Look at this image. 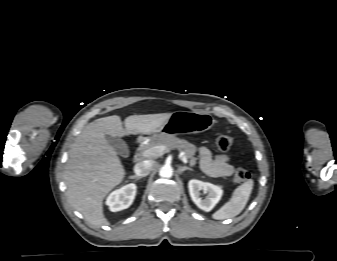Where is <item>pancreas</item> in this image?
I'll use <instances>...</instances> for the list:
<instances>
[{
	"label": "pancreas",
	"mask_w": 337,
	"mask_h": 261,
	"mask_svg": "<svg viewBox=\"0 0 337 261\" xmlns=\"http://www.w3.org/2000/svg\"><path fill=\"white\" fill-rule=\"evenodd\" d=\"M160 145L166 146L168 151L174 149L184 151L186 158L189 160V164L191 166H195L197 161V158L195 157L197 151L196 146L184 139H179L175 136L156 137L152 139L148 144L141 146L140 151L144 152L147 149Z\"/></svg>",
	"instance_id": "1"
}]
</instances>
